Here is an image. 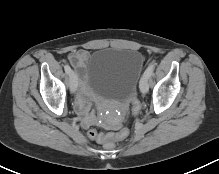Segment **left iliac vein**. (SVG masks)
Instances as JSON below:
<instances>
[{
    "label": "left iliac vein",
    "mask_w": 219,
    "mask_h": 174,
    "mask_svg": "<svg viewBox=\"0 0 219 174\" xmlns=\"http://www.w3.org/2000/svg\"><path fill=\"white\" fill-rule=\"evenodd\" d=\"M139 89L143 94L148 92V77L146 75L142 76L139 84Z\"/></svg>",
    "instance_id": "4c4485c4"
}]
</instances>
